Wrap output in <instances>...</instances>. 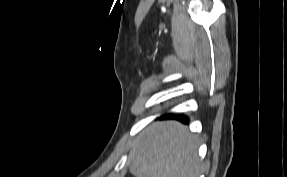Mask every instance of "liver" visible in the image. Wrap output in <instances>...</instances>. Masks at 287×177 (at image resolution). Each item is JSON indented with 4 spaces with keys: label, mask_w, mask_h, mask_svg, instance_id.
<instances>
[{
    "label": "liver",
    "mask_w": 287,
    "mask_h": 177,
    "mask_svg": "<svg viewBox=\"0 0 287 177\" xmlns=\"http://www.w3.org/2000/svg\"><path fill=\"white\" fill-rule=\"evenodd\" d=\"M198 141L177 121H160L144 129L129 156L136 177H198Z\"/></svg>",
    "instance_id": "6515ba94"
}]
</instances>
